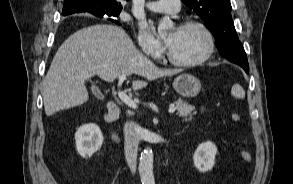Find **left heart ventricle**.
<instances>
[{"label": "left heart ventricle", "instance_id": "b2bd125f", "mask_svg": "<svg viewBox=\"0 0 293 184\" xmlns=\"http://www.w3.org/2000/svg\"><path fill=\"white\" fill-rule=\"evenodd\" d=\"M169 36H173V42L169 50L180 60L197 59L206 51V36L198 28H177Z\"/></svg>", "mask_w": 293, "mask_h": 184}]
</instances>
